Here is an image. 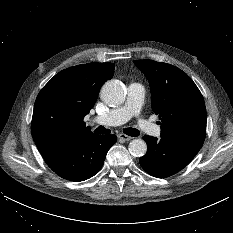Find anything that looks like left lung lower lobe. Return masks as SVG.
Segmentation results:
<instances>
[{
    "label": "left lung lower lobe",
    "instance_id": "obj_1",
    "mask_svg": "<svg viewBox=\"0 0 233 233\" xmlns=\"http://www.w3.org/2000/svg\"><path fill=\"white\" fill-rule=\"evenodd\" d=\"M147 153L140 158L142 168L150 175L166 178L186 167L201 149L202 144L187 139L144 136Z\"/></svg>",
    "mask_w": 233,
    "mask_h": 233
}]
</instances>
